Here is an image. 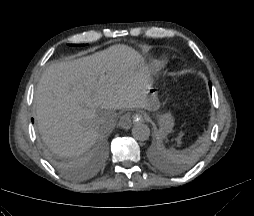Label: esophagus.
I'll use <instances>...</instances> for the list:
<instances>
[{
  "label": "esophagus",
  "instance_id": "esophagus-1",
  "mask_svg": "<svg viewBox=\"0 0 254 216\" xmlns=\"http://www.w3.org/2000/svg\"><path fill=\"white\" fill-rule=\"evenodd\" d=\"M132 119L133 121H143L144 117L141 114H134L132 115ZM131 125H132V122H131L130 115L126 114L120 118L119 126L121 128L128 130L130 129Z\"/></svg>",
  "mask_w": 254,
  "mask_h": 216
}]
</instances>
